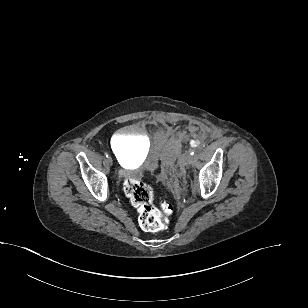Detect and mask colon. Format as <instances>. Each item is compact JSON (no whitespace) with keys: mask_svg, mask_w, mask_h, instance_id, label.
I'll return each mask as SVG.
<instances>
[{"mask_svg":"<svg viewBox=\"0 0 308 308\" xmlns=\"http://www.w3.org/2000/svg\"><path fill=\"white\" fill-rule=\"evenodd\" d=\"M124 192L138 211L140 227L149 232L164 229L173 213L172 205L166 201L160 207L154 204L153 188L136 179H127L124 183Z\"/></svg>","mask_w":308,"mask_h":308,"instance_id":"obj_1","label":"colon"}]
</instances>
